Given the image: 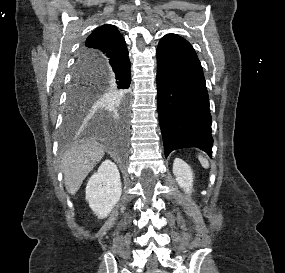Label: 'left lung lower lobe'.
Segmentation results:
<instances>
[{
	"mask_svg": "<svg viewBox=\"0 0 285 273\" xmlns=\"http://www.w3.org/2000/svg\"><path fill=\"white\" fill-rule=\"evenodd\" d=\"M157 106L165 157L180 147H197L212 157L202 66L192 45L176 34L165 35L157 48Z\"/></svg>",
	"mask_w": 285,
	"mask_h": 273,
	"instance_id": "left-lung-lower-lobe-1",
	"label": "left lung lower lobe"
}]
</instances>
